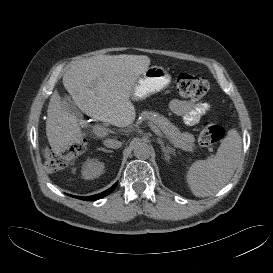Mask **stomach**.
<instances>
[{
	"label": "stomach",
	"mask_w": 273,
	"mask_h": 273,
	"mask_svg": "<svg viewBox=\"0 0 273 273\" xmlns=\"http://www.w3.org/2000/svg\"><path fill=\"white\" fill-rule=\"evenodd\" d=\"M171 76L161 66L148 67L136 80L130 98L133 101L143 100L168 87Z\"/></svg>",
	"instance_id": "0dacf381"
}]
</instances>
